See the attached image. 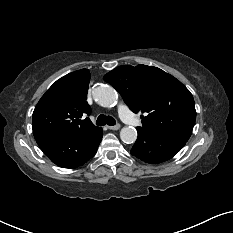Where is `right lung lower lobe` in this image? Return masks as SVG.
I'll list each match as a JSON object with an SVG mask.
<instances>
[{"instance_id": "98d812e1", "label": "right lung lower lobe", "mask_w": 233, "mask_h": 233, "mask_svg": "<svg viewBox=\"0 0 233 233\" xmlns=\"http://www.w3.org/2000/svg\"><path fill=\"white\" fill-rule=\"evenodd\" d=\"M102 136V129L98 127L77 138L46 137L36 141L53 163L62 168H75L96 154Z\"/></svg>"}]
</instances>
